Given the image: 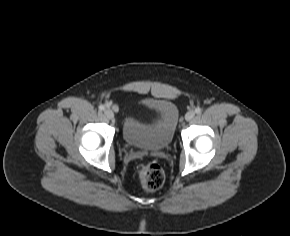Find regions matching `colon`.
I'll list each match as a JSON object with an SVG mask.
<instances>
[{
	"label": "colon",
	"instance_id": "5ec220e1",
	"mask_svg": "<svg viewBox=\"0 0 290 236\" xmlns=\"http://www.w3.org/2000/svg\"><path fill=\"white\" fill-rule=\"evenodd\" d=\"M138 177L142 186L149 191L159 189L165 181L164 171L156 163L141 166L138 170Z\"/></svg>",
	"mask_w": 290,
	"mask_h": 236
}]
</instances>
